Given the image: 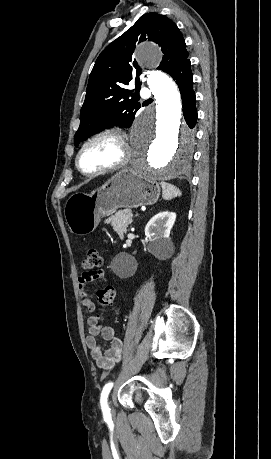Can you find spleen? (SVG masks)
I'll use <instances>...</instances> for the list:
<instances>
[{
    "label": "spleen",
    "mask_w": 271,
    "mask_h": 459,
    "mask_svg": "<svg viewBox=\"0 0 271 459\" xmlns=\"http://www.w3.org/2000/svg\"><path fill=\"white\" fill-rule=\"evenodd\" d=\"M162 188V198L164 200H173L176 196L177 188L172 186V184H166V182H161Z\"/></svg>",
    "instance_id": "3e777b00"
}]
</instances>
